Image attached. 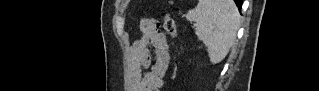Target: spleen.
<instances>
[{
  "label": "spleen",
  "mask_w": 319,
  "mask_h": 91,
  "mask_svg": "<svg viewBox=\"0 0 319 91\" xmlns=\"http://www.w3.org/2000/svg\"><path fill=\"white\" fill-rule=\"evenodd\" d=\"M186 19L196 24L195 33L207 48L212 64L221 62L236 39L240 15L233 0H199Z\"/></svg>",
  "instance_id": "3e777b00"
}]
</instances>
